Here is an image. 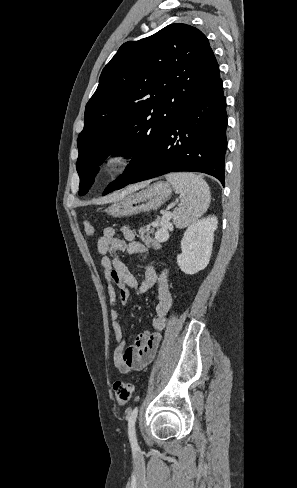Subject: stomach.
<instances>
[{
  "label": "stomach",
  "instance_id": "stomach-1",
  "mask_svg": "<svg viewBox=\"0 0 297 488\" xmlns=\"http://www.w3.org/2000/svg\"><path fill=\"white\" fill-rule=\"evenodd\" d=\"M172 192L169 182L159 181L138 192L130 193L113 202L105 212L115 218L129 217L141 212L156 210Z\"/></svg>",
  "mask_w": 297,
  "mask_h": 488
}]
</instances>
